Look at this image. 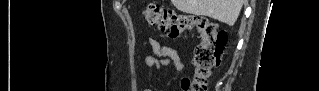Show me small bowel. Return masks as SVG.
Wrapping results in <instances>:
<instances>
[{"mask_svg":"<svg viewBox=\"0 0 319 91\" xmlns=\"http://www.w3.org/2000/svg\"><path fill=\"white\" fill-rule=\"evenodd\" d=\"M150 46L154 54L146 58L145 65L147 68L171 66L177 71L184 70V64L179 51L171 47H164L155 39L150 40Z\"/></svg>","mask_w":319,"mask_h":91,"instance_id":"1","label":"small bowel"}]
</instances>
